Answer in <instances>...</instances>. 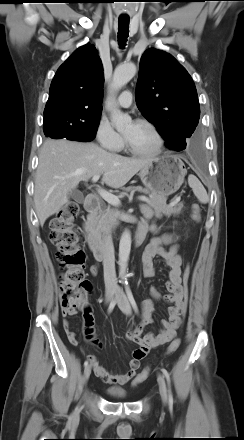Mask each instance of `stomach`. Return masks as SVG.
Here are the masks:
<instances>
[{
  "label": "stomach",
  "mask_w": 244,
  "mask_h": 440,
  "mask_svg": "<svg viewBox=\"0 0 244 440\" xmlns=\"http://www.w3.org/2000/svg\"><path fill=\"white\" fill-rule=\"evenodd\" d=\"M187 170L175 155L165 154L154 158L139 172V177L148 191L167 197L183 184Z\"/></svg>",
  "instance_id": "stomach-1"
}]
</instances>
